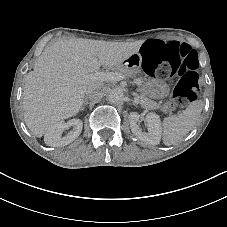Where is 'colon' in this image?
<instances>
[{"instance_id": "colon-1", "label": "colon", "mask_w": 227, "mask_h": 227, "mask_svg": "<svg viewBox=\"0 0 227 227\" xmlns=\"http://www.w3.org/2000/svg\"><path fill=\"white\" fill-rule=\"evenodd\" d=\"M140 54L146 73L161 79H178L172 101L165 103L166 111L184 106L200 96L198 56L188 45L151 39L144 43Z\"/></svg>"}]
</instances>
